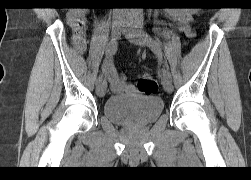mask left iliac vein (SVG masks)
Masks as SVG:
<instances>
[{
	"mask_svg": "<svg viewBox=\"0 0 251 180\" xmlns=\"http://www.w3.org/2000/svg\"><path fill=\"white\" fill-rule=\"evenodd\" d=\"M123 34L129 41H131L135 45L141 47L148 45L145 36L143 35V33H141V31L137 29L136 25L132 21L125 27ZM162 85L166 92L171 93L173 91L172 82L168 77H162Z\"/></svg>",
	"mask_w": 251,
	"mask_h": 180,
	"instance_id": "4c4485c4",
	"label": "left iliac vein"
}]
</instances>
